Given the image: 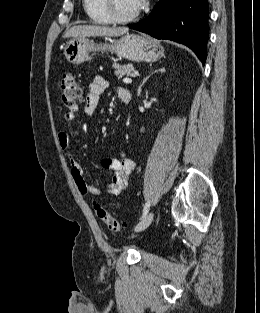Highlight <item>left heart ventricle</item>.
Listing matches in <instances>:
<instances>
[{
	"label": "left heart ventricle",
	"mask_w": 260,
	"mask_h": 313,
	"mask_svg": "<svg viewBox=\"0 0 260 313\" xmlns=\"http://www.w3.org/2000/svg\"><path fill=\"white\" fill-rule=\"evenodd\" d=\"M115 10L121 16L134 13L138 8L137 0H114Z\"/></svg>",
	"instance_id": "left-heart-ventricle-1"
}]
</instances>
